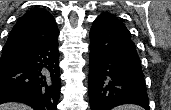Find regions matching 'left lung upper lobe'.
<instances>
[{
    "label": "left lung upper lobe",
    "instance_id": "left-lung-upper-lobe-1",
    "mask_svg": "<svg viewBox=\"0 0 171 110\" xmlns=\"http://www.w3.org/2000/svg\"><path fill=\"white\" fill-rule=\"evenodd\" d=\"M100 16H105V17H108L111 20L115 21L121 27V29H123L127 34L130 35V32L128 31V29L125 27V25L120 20L117 19V17L115 15L110 14V13H102Z\"/></svg>",
    "mask_w": 171,
    "mask_h": 110
}]
</instances>
